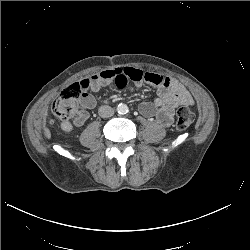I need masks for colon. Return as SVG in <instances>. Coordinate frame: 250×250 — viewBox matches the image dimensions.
Instances as JSON below:
<instances>
[{"mask_svg": "<svg viewBox=\"0 0 250 250\" xmlns=\"http://www.w3.org/2000/svg\"><path fill=\"white\" fill-rule=\"evenodd\" d=\"M80 96L81 87L78 83L64 88L52 104L53 115L62 120H69L77 111ZM193 120L192 111L188 107L182 106L176 112L175 127L179 131L186 130L193 123Z\"/></svg>", "mask_w": 250, "mask_h": 250, "instance_id": "1", "label": "colon"}]
</instances>
